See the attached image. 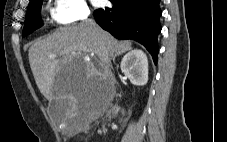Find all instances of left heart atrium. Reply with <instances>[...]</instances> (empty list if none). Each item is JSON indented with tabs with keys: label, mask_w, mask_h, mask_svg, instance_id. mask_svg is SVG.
Wrapping results in <instances>:
<instances>
[{
	"label": "left heart atrium",
	"mask_w": 227,
	"mask_h": 142,
	"mask_svg": "<svg viewBox=\"0 0 227 142\" xmlns=\"http://www.w3.org/2000/svg\"><path fill=\"white\" fill-rule=\"evenodd\" d=\"M95 6H100L103 3V0H91Z\"/></svg>",
	"instance_id": "39dd6f15"
}]
</instances>
